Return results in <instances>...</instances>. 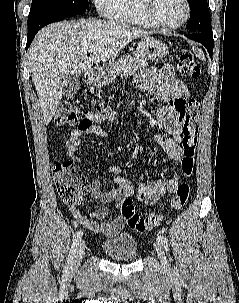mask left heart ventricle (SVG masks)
Listing matches in <instances>:
<instances>
[{
    "instance_id": "obj_1",
    "label": "left heart ventricle",
    "mask_w": 239,
    "mask_h": 303,
    "mask_svg": "<svg viewBox=\"0 0 239 303\" xmlns=\"http://www.w3.org/2000/svg\"><path fill=\"white\" fill-rule=\"evenodd\" d=\"M185 4L183 0H156L155 16L165 24H175L185 16Z\"/></svg>"
}]
</instances>
